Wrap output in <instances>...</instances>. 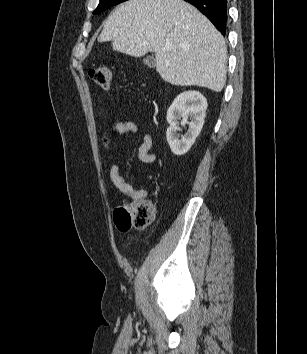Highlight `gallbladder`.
<instances>
[{
	"instance_id": "bac80fb5",
	"label": "gallbladder",
	"mask_w": 307,
	"mask_h": 354,
	"mask_svg": "<svg viewBox=\"0 0 307 354\" xmlns=\"http://www.w3.org/2000/svg\"><path fill=\"white\" fill-rule=\"evenodd\" d=\"M155 58L153 56H148L146 59H145V64L150 67V68H153L155 66Z\"/></svg>"
}]
</instances>
